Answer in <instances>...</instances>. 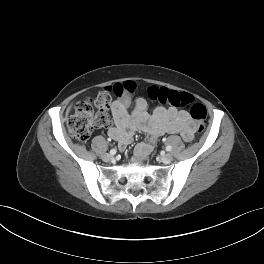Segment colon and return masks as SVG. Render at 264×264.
Masks as SVG:
<instances>
[{
	"label": "colon",
	"instance_id": "5ec220e1",
	"mask_svg": "<svg viewBox=\"0 0 264 264\" xmlns=\"http://www.w3.org/2000/svg\"><path fill=\"white\" fill-rule=\"evenodd\" d=\"M133 90L132 82L126 81L116 84L109 90L99 92L93 99L88 98L79 102L67 123L70 135L79 141L86 142L94 129L108 124L112 95L126 100L132 95ZM148 95L152 101L161 105L178 109L190 108L191 118L195 121L198 130L201 132L205 129L207 110L203 104L195 103L189 93L151 86Z\"/></svg>",
	"mask_w": 264,
	"mask_h": 264
}]
</instances>
